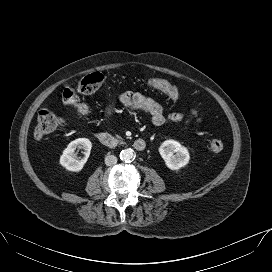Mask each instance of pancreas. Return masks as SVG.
Returning a JSON list of instances; mask_svg holds the SVG:
<instances>
[{
  "mask_svg": "<svg viewBox=\"0 0 272 272\" xmlns=\"http://www.w3.org/2000/svg\"><path fill=\"white\" fill-rule=\"evenodd\" d=\"M116 138L119 139L120 143H123L122 138L119 135H116Z\"/></svg>",
  "mask_w": 272,
  "mask_h": 272,
  "instance_id": "1",
  "label": "pancreas"
}]
</instances>
